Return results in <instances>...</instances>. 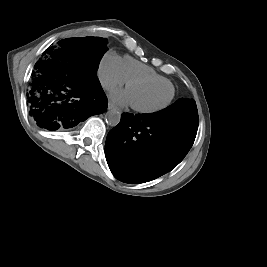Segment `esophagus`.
Masks as SVG:
<instances>
[{
  "label": "esophagus",
  "instance_id": "1",
  "mask_svg": "<svg viewBox=\"0 0 267 267\" xmlns=\"http://www.w3.org/2000/svg\"><path fill=\"white\" fill-rule=\"evenodd\" d=\"M108 109L109 110H117V107L112 102H109L108 103Z\"/></svg>",
  "mask_w": 267,
  "mask_h": 267
}]
</instances>
